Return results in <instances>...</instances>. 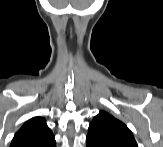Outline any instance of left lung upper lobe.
<instances>
[{
	"label": "left lung upper lobe",
	"instance_id": "1",
	"mask_svg": "<svg viewBox=\"0 0 163 147\" xmlns=\"http://www.w3.org/2000/svg\"><path fill=\"white\" fill-rule=\"evenodd\" d=\"M88 134L101 139L128 142L138 147L132 132L127 126L105 111H100L93 118L89 125Z\"/></svg>",
	"mask_w": 163,
	"mask_h": 147
}]
</instances>
